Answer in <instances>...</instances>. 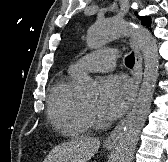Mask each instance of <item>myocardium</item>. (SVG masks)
<instances>
[{"label":"myocardium","instance_id":"myocardium-1","mask_svg":"<svg viewBox=\"0 0 168 162\" xmlns=\"http://www.w3.org/2000/svg\"><path fill=\"white\" fill-rule=\"evenodd\" d=\"M85 107V110L87 111V113H91L92 112V108L91 107H88L86 105H84Z\"/></svg>","mask_w":168,"mask_h":162}]
</instances>
